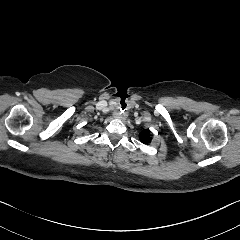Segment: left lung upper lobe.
<instances>
[{"label":"left lung upper lobe","instance_id":"obj_1","mask_svg":"<svg viewBox=\"0 0 240 240\" xmlns=\"http://www.w3.org/2000/svg\"><path fill=\"white\" fill-rule=\"evenodd\" d=\"M140 140L143 143H150L151 142V137H150V132L149 130H143L140 134H139Z\"/></svg>","mask_w":240,"mask_h":240}]
</instances>
